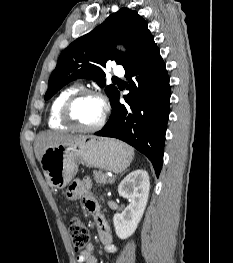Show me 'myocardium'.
<instances>
[{"instance_id":"myocardium-1","label":"myocardium","mask_w":233,"mask_h":263,"mask_svg":"<svg viewBox=\"0 0 233 263\" xmlns=\"http://www.w3.org/2000/svg\"><path fill=\"white\" fill-rule=\"evenodd\" d=\"M86 97H93L102 102L103 105V113L102 116L97 124L91 127H83L77 123L75 118L73 117L72 110L75 104ZM107 113H108V104L105 99V97L96 91L93 90H78L72 95H70L65 102L62 105L61 108V120L69 127L72 129L78 131V132H83V133H93L99 131L105 124L106 118H107Z\"/></svg>"}]
</instances>
